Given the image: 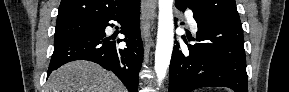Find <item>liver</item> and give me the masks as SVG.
Listing matches in <instances>:
<instances>
[{"instance_id": "obj_1", "label": "liver", "mask_w": 289, "mask_h": 92, "mask_svg": "<svg viewBox=\"0 0 289 92\" xmlns=\"http://www.w3.org/2000/svg\"><path fill=\"white\" fill-rule=\"evenodd\" d=\"M46 92H126L110 71L89 61H73L53 71Z\"/></svg>"}]
</instances>
